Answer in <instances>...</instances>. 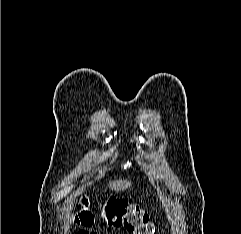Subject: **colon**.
<instances>
[{
  "label": "colon",
  "instance_id": "5ec220e1",
  "mask_svg": "<svg viewBox=\"0 0 241 234\" xmlns=\"http://www.w3.org/2000/svg\"><path fill=\"white\" fill-rule=\"evenodd\" d=\"M85 204H88L87 201ZM100 218L109 226H123L130 234H153L154 232V226L147 213L122 200L114 198L107 200ZM77 221L84 226H91L95 222V216L90 210L84 209L78 215Z\"/></svg>",
  "mask_w": 241,
  "mask_h": 234
}]
</instances>
